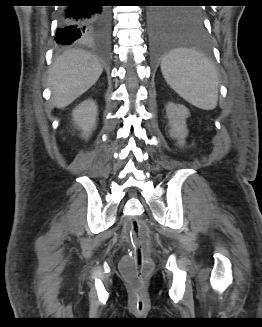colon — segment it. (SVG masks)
Wrapping results in <instances>:
<instances>
[{
    "label": "colon",
    "instance_id": "1",
    "mask_svg": "<svg viewBox=\"0 0 262 327\" xmlns=\"http://www.w3.org/2000/svg\"><path fill=\"white\" fill-rule=\"evenodd\" d=\"M126 235L133 245L132 254L122 263V272L129 280L138 297L143 302L142 292L145 280L150 270L149 262L145 257V248L148 243V231L145 224L133 219L126 227Z\"/></svg>",
    "mask_w": 262,
    "mask_h": 327
}]
</instances>
